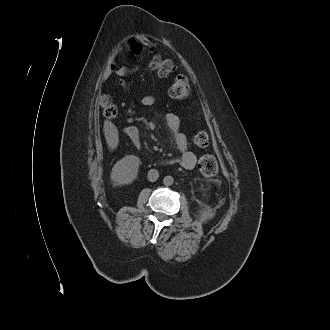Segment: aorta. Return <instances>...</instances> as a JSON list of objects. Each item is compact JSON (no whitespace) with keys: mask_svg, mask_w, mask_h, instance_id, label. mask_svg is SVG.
<instances>
[{"mask_svg":"<svg viewBox=\"0 0 330 330\" xmlns=\"http://www.w3.org/2000/svg\"><path fill=\"white\" fill-rule=\"evenodd\" d=\"M173 182H174L173 177L172 176H169V175L168 176H165L164 179H163V184L165 186H171L173 184Z\"/></svg>","mask_w":330,"mask_h":330,"instance_id":"obj_1","label":"aorta"}]
</instances>
